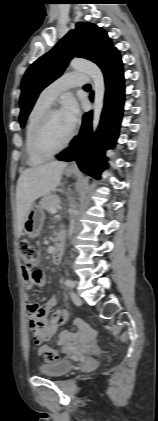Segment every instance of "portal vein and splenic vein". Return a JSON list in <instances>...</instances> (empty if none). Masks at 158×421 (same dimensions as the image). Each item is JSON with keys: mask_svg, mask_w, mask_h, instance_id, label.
<instances>
[{"mask_svg": "<svg viewBox=\"0 0 158 421\" xmlns=\"http://www.w3.org/2000/svg\"><path fill=\"white\" fill-rule=\"evenodd\" d=\"M56 212H57V208H52V209H51V213H52V214H55Z\"/></svg>", "mask_w": 158, "mask_h": 421, "instance_id": "portal-vein-and-splenic-vein-1", "label": "portal vein and splenic vein"}]
</instances>
